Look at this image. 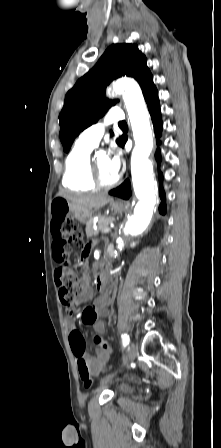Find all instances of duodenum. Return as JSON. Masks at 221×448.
<instances>
[{
	"instance_id": "duodenum-1",
	"label": "duodenum",
	"mask_w": 221,
	"mask_h": 448,
	"mask_svg": "<svg viewBox=\"0 0 221 448\" xmlns=\"http://www.w3.org/2000/svg\"><path fill=\"white\" fill-rule=\"evenodd\" d=\"M106 281H107V271L104 266L103 269L97 275L98 288L103 289L106 285Z\"/></svg>"
}]
</instances>
